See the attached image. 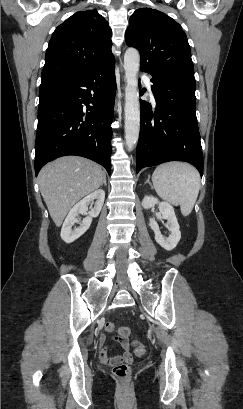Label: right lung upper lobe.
I'll return each mask as SVG.
<instances>
[{"instance_id": "1", "label": "right lung upper lobe", "mask_w": 243, "mask_h": 409, "mask_svg": "<svg viewBox=\"0 0 243 409\" xmlns=\"http://www.w3.org/2000/svg\"><path fill=\"white\" fill-rule=\"evenodd\" d=\"M111 35L108 22L96 10L76 12L54 31L42 80L78 77L114 61Z\"/></svg>"}]
</instances>
